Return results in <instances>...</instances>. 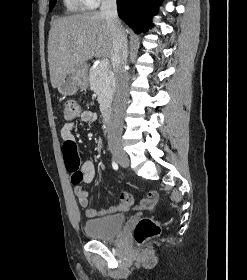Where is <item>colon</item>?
<instances>
[{"mask_svg":"<svg viewBox=\"0 0 247 280\" xmlns=\"http://www.w3.org/2000/svg\"><path fill=\"white\" fill-rule=\"evenodd\" d=\"M79 112V106L75 101H67L65 103L64 113L67 119L76 118ZM62 151L66 169L71 175L73 189L75 191H81L83 189V184L81 183L83 173L81 171V163L76 143H64ZM160 232L161 226L157 220L151 217H144L137 222L133 234L135 241L139 245H142L149 239L158 236Z\"/></svg>","mask_w":247,"mask_h":280,"instance_id":"obj_1","label":"colon"}]
</instances>
